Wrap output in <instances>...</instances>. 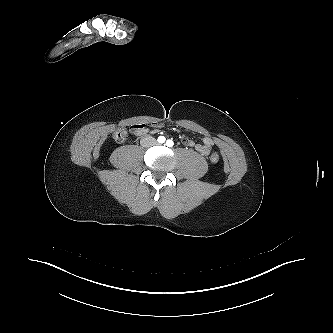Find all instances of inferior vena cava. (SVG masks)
I'll return each mask as SVG.
<instances>
[{
  "label": "inferior vena cava",
  "mask_w": 333,
  "mask_h": 333,
  "mask_svg": "<svg viewBox=\"0 0 333 333\" xmlns=\"http://www.w3.org/2000/svg\"><path fill=\"white\" fill-rule=\"evenodd\" d=\"M155 139L153 137H146V138H143L141 139L140 143L143 147H146V146H149L153 143H155Z\"/></svg>",
  "instance_id": "inferior-vena-cava-1"
}]
</instances>
